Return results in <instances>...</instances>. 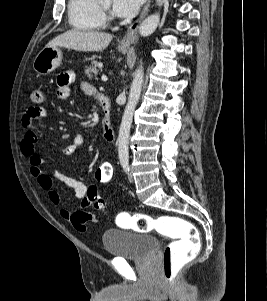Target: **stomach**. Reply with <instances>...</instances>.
<instances>
[{"instance_id":"stomach-1","label":"stomach","mask_w":267,"mask_h":301,"mask_svg":"<svg viewBox=\"0 0 267 301\" xmlns=\"http://www.w3.org/2000/svg\"><path fill=\"white\" fill-rule=\"evenodd\" d=\"M129 46H118L121 53H126ZM62 61V52L59 47H45L36 56L33 68L39 75H47L55 70Z\"/></svg>"}]
</instances>
